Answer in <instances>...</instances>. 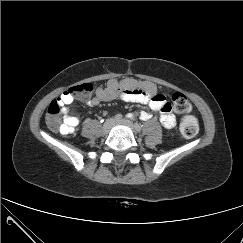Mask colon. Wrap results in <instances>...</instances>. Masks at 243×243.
I'll return each instance as SVG.
<instances>
[{
	"mask_svg": "<svg viewBox=\"0 0 243 243\" xmlns=\"http://www.w3.org/2000/svg\"><path fill=\"white\" fill-rule=\"evenodd\" d=\"M93 91V86L90 83H84L73 87L69 92L81 99H87ZM168 108L178 114H187L191 110V105L188 98L182 93H175L172 96V104L168 103ZM61 103L59 100H53L47 109L46 122L47 125L54 131L61 129ZM180 131L184 138L191 139L195 137L199 131L198 120L191 115H186L182 119Z\"/></svg>",
	"mask_w": 243,
	"mask_h": 243,
	"instance_id": "1",
	"label": "colon"
}]
</instances>
